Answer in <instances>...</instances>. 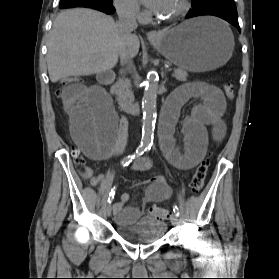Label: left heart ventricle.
<instances>
[{
  "label": "left heart ventricle",
  "instance_id": "obj_1",
  "mask_svg": "<svg viewBox=\"0 0 279 279\" xmlns=\"http://www.w3.org/2000/svg\"><path fill=\"white\" fill-rule=\"evenodd\" d=\"M181 0H164L163 6L157 12L161 17L172 16L180 7Z\"/></svg>",
  "mask_w": 279,
  "mask_h": 279
}]
</instances>
